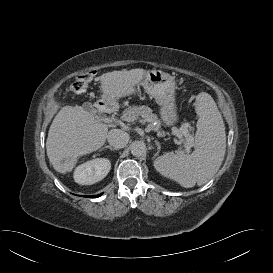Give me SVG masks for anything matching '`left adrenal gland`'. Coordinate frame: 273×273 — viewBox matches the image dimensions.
Wrapping results in <instances>:
<instances>
[{"label": "left adrenal gland", "instance_id": "a2214340", "mask_svg": "<svg viewBox=\"0 0 273 273\" xmlns=\"http://www.w3.org/2000/svg\"><path fill=\"white\" fill-rule=\"evenodd\" d=\"M155 143H156V146H157V152H156L155 156H157L159 151H160V143L157 140L155 141Z\"/></svg>", "mask_w": 273, "mask_h": 273}]
</instances>
